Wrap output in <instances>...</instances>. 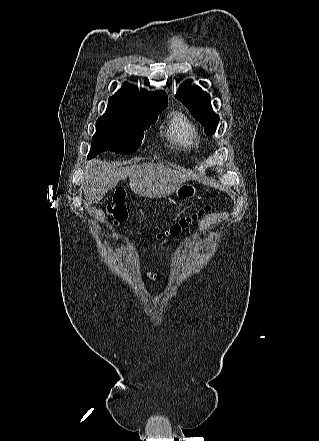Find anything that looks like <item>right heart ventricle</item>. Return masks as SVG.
Listing matches in <instances>:
<instances>
[{
  "label": "right heart ventricle",
  "instance_id": "1",
  "mask_svg": "<svg viewBox=\"0 0 319 441\" xmlns=\"http://www.w3.org/2000/svg\"><path fill=\"white\" fill-rule=\"evenodd\" d=\"M166 136L172 143L187 148L197 139V131L187 117L175 114L168 123Z\"/></svg>",
  "mask_w": 319,
  "mask_h": 441
}]
</instances>
